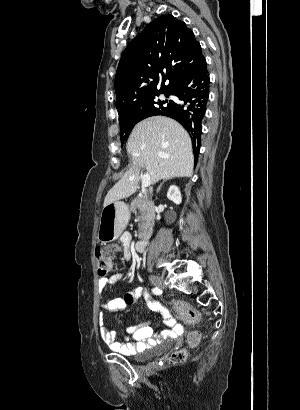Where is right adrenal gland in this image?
Listing matches in <instances>:
<instances>
[{"label":"right adrenal gland","mask_w":300,"mask_h":410,"mask_svg":"<svg viewBox=\"0 0 300 410\" xmlns=\"http://www.w3.org/2000/svg\"><path fill=\"white\" fill-rule=\"evenodd\" d=\"M169 179H172V177L167 178V179H164V180H163V183H164L165 181L169 180ZM163 183H161V185L158 187V189H157V193H159V192H160V190H161V187H162Z\"/></svg>","instance_id":"2a0ac1e0"}]
</instances>
